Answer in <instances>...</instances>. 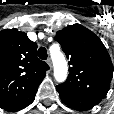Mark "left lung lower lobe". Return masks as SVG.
<instances>
[{"instance_id":"left-lung-lower-lobe-1","label":"left lung lower lobe","mask_w":114,"mask_h":114,"mask_svg":"<svg viewBox=\"0 0 114 114\" xmlns=\"http://www.w3.org/2000/svg\"><path fill=\"white\" fill-rule=\"evenodd\" d=\"M56 89L61 100L69 107L78 111L89 110L101 101L100 98L95 96L78 93L60 86H56Z\"/></svg>"}]
</instances>
